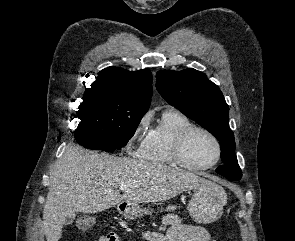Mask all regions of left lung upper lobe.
<instances>
[{"label":"left lung upper lobe","instance_id":"obj_1","mask_svg":"<svg viewBox=\"0 0 295 241\" xmlns=\"http://www.w3.org/2000/svg\"><path fill=\"white\" fill-rule=\"evenodd\" d=\"M161 96L188 118L194 120L220 141L223 165L216 172L239 180L242 172L235 154L234 134L229 127V107L219 87L193 68L182 71L161 70L156 74Z\"/></svg>","mask_w":295,"mask_h":241}]
</instances>
